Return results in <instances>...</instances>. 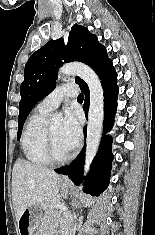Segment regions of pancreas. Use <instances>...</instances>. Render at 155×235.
<instances>
[{
  "mask_svg": "<svg viewBox=\"0 0 155 235\" xmlns=\"http://www.w3.org/2000/svg\"><path fill=\"white\" fill-rule=\"evenodd\" d=\"M58 204H60V200L56 198L51 200L50 202L44 203L43 207L46 214L52 217L58 215V209L56 208Z\"/></svg>",
  "mask_w": 155,
  "mask_h": 235,
  "instance_id": "cf45deb5",
  "label": "pancreas"
}]
</instances>
